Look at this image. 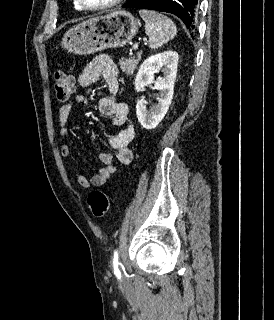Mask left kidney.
Wrapping results in <instances>:
<instances>
[{"label":"left kidney","instance_id":"left-kidney-1","mask_svg":"<svg viewBox=\"0 0 274 320\" xmlns=\"http://www.w3.org/2000/svg\"><path fill=\"white\" fill-rule=\"evenodd\" d=\"M177 66V52L168 50V52L156 54V56H150V58L144 60L137 72L134 82L136 92H143L144 86H148V84H154L155 90H159L158 104H155L150 112L146 110L145 100H140V98L137 100L136 116L138 122L146 130L157 128L169 110V106L173 100ZM160 68H162L164 76L155 80L154 76L159 72Z\"/></svg>","mask_w":274,"mask_h":320}]
</instances>
